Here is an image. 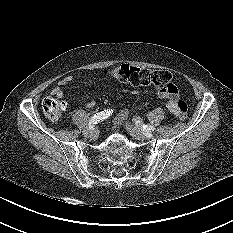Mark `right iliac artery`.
Masks as SVG:
<instances>
[{
  "mask_svg": "<svg viewBox=\"0 0 233 233\" xmlns=\"http://www.w3.org/2000/svg\"><path fill=\"white\" fill-rule=\"evenodd\" d=\"M112 112L113 110L107 109L99 113H96L93 117H91L89 121V128H92L93 125L96 124L97 122L108 118L110 115H112Z\"/></svg>",
  "mask_w": 233,
  "mask_h": 233,
  "instance_id": "1",
  "label": "right iliac artery"
}]
</instances>
